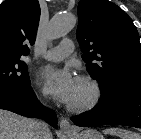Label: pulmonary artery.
<instances>
[{
    "label": "pulmonary artery",
    "instance_id": "pulmonary-artery-1",
    "mask_svg": "<svg viewBox=\"0 0 141 139\" xmlns=\"http://www.w3.org/2000/svg\"><path fill=\"white\" fill-rule=\"evenodd\" d=\"M74 50L71 40H63L58 46L51 48L43 53V57L51 61H60L70 55Z\"/></svg>",
    "mask_w": 141,
    "mask_h": 139
}]
</instances>
